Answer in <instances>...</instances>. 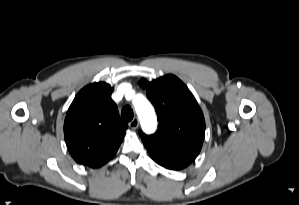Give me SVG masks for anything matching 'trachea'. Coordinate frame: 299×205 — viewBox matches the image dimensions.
<instances>
[{
  "mask_svg": "<svg viewBox=\"0 0 299 205\" xmlns=\"http://www.w3.org/2000/svg\"><path fill=\"white\" fill-rule=\"evenodd\" d=\"M121 117L124 121L129 122L133 119V110L130 106L123 107Z\"/></svg>",
  "mask_w": 299,
  "mask_h": 205,
  "instance_id": "3493384b",
  "label": "trachea"
}]
</instances>
